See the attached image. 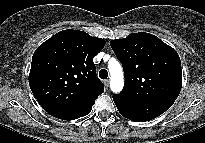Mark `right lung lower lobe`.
<instances>
[{"instance_id": "right-lung-lower-lobe-1", "label": "right lung lower lobe", "mask_w": 205, "mask_h": 143, "mask_svg": "<svg viewBox=\"0 0 205 143\" xmlns=\"http://www.w3.org/2000/svg\"><path fill=\"white\" fill-rule=\"evenodd\" d=\"M95 101L92 102L90 105H88L86 108H84L83 110L77 112V113H58V114H50L56 118L62 119V120H74V119H78L82 116H86L87 114L90 113V111L92 110V106L94 105Z\"/></svg>"}]
</instances>
